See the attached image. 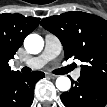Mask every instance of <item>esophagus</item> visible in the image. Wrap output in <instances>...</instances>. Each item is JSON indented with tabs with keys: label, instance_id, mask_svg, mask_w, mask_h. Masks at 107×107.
Segmentation results:
<instances>
[{
	"label": "esophagus",
	"instance_id": "esophagus-1",
	"mask_svg": "<svg viewBox=\"0 0 107 107\" xmlns=\"http://www.w3.org/2000/svg\"><path fill=\"white\" fill-rule=\"evenodd\" d=\"M46 75L52 79H55L57 77V75H53L51 73H46Z\"/></svg>",
	"mask_w": 107,
	"mask_h": 107
}]
</instances>
